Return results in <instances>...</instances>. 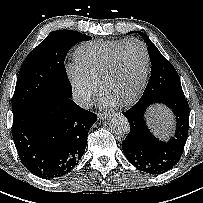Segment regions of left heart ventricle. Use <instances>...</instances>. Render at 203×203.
<instances>
[{"label": "left heart ventricle", "instance_id": "b2bd125f", "mask_svg": "<svg viewBox=\"0 0 203 203\" xmlns=\"http://www.w3.org/2000/svg\"><path fill=\"white\" fill-rule=\"evenodd\" d=\"M145 57L137 43L127 45L120 53L116 68L105 87V94L116 102L128 99L137 89L144 71Z\"/></svg>", "mask_w": 203, "mask_h": 203}]
</instances>
